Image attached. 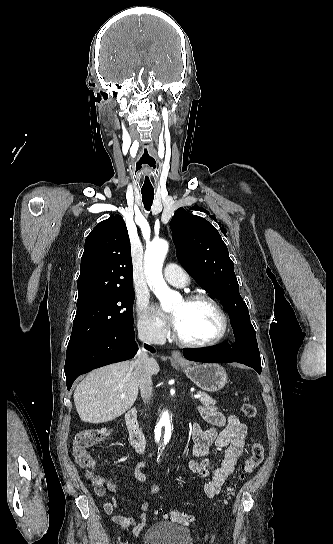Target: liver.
<instances>
[{
    "instance_id": "1",
    "label": "liver",
    "mask_w": 333,
    "mask_h": 544,
    "mask_svg": "<svg viewBox=\"0 0 333 544\" xmlns=\"http://www.w3.org/2000/svg\"><path fill=\"white\" fill-rule=\"evenodd\" d=\"M148 368L151 375L160 370L153 358L149 359ZM138 387L134 362L111 364L90 372L74 392L80 419L92 424L114 420L132 407L138 396Z\"/></svg>"
}]
</instances>
